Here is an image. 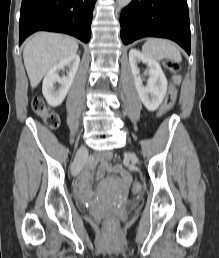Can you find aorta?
<instances>
[{
    "instance_id": "762f6f07",
    "label": "aorta",
    "mask_w": 219,
    "mask_h": 258,
    "mask_svg": "<svg viewBox=\"0 0 219 258\" xmlns=\"http://www.w3.org/2000/svg\"><path fill=\"white\" fill-rule=\"evenodd\" d=\"M132 0H117V4L119 7L123 8L125 6H127L128 4H130Z\"/></svg>"
}]
</instances>
